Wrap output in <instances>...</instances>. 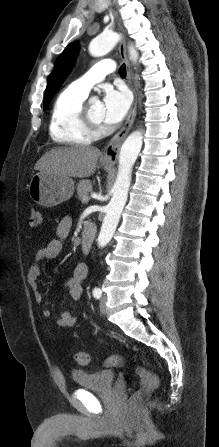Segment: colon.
<instances>
[{"mask_svg": "<svg viewBox=\"0 0 219 447\" xmlns=\"http://www.w3.org/2000/svg\"><path fill=\"white\" fill-rule=\"evenodd\" d=\"M42 215L40 209L36 206H30L28 223L31 228H36L41 224ZM76 361L81 365H86L89 362V355L86 352L78 351L75 354ZM127 364V359L121 355H112L104 361L107 367L124 366ZM135 373L140 377V388L133 395V401H140L143 397L149 395L159 384L158 377L151 371L137 366Z\"/></svg>", "mask_w": 219, "mask_h": 447, "instance_id": "colon-1", "label": "colon"}]
</instances>
